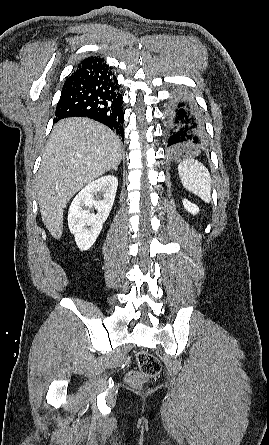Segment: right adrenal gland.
<instances>
[{"instance_id":"1","label":"right adrenal gland","mask_w":269,"mask_h":445,"mask_svg":"<svg viewBox=\"0 0 269 445\" xmlns=\"http://www.w3.org/2000/svg\"><path fill=\"white\" fill-rule=\"evenodd\" d=\"M114 170H115V171H117V170H118V168L116 167V168H114Z\"/></svg>"}]
</instances>
